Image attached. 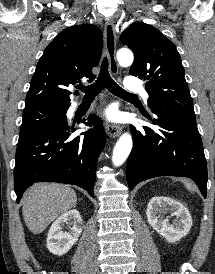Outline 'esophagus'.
I'll return each instance as SVG.
<instances>
[{"instance_id": "34e87169", "label": "esophagus", "mask_w": 215, "mask_h": 274, "mask_svg": "<svg viewBox=\"0 0 215 274\" xmlns=\"http://www.w3.org/2000/svg\"><path fill=\"white\" fill-rule=\"evenodd\" d=\"M104 37H105V47H106V53L109 59L110 70L113 75H117L118 66H117L116 57H115L116 34H115L114 22L111 19H108L105 22ZM105 130L108 136L115 138L121 134L122 127L120 125L107 122L105 124Z\"/></svg>"}]
</instances>
